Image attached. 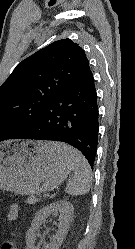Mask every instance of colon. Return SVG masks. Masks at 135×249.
I'll return each instance as SVG.
<instances>
[{"label": "colon", "mask_w": 135, "mask_h": 249, "mask_svg": "<svg viewBox=\"0 0 135 249\" xmlns=\"http://www.w3.org/2000/svg\"><path fill=\"white\" fill-rule=\"evenodd\" d=\"M2 249H17V244L12 240L4 241Z\"/></svg>", "instance_id": "obj_1"}]
</instances>
